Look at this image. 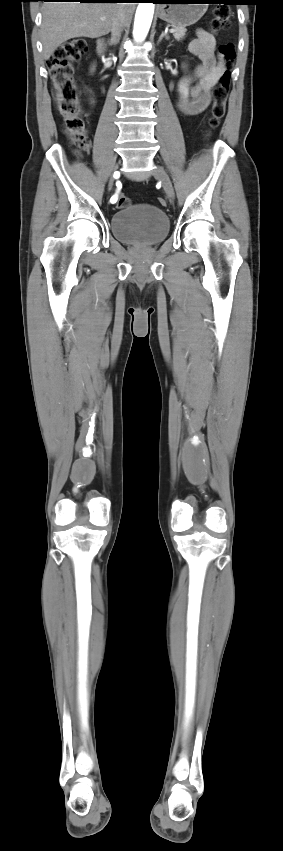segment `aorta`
<instances>
[{
  "label": "aorta",
  "mask_w": 283,
  "mask_h": 851,
  "mask_svg": "<svg viewBox=\"0 0 283 851\" xmlns=\"http://www.w3.org/2000/svg\"><path fill=\"white\" fill-rule=\"evenodd\" d=\"M154 14L153 3H139L134 21L133 37L136 41H143L150 29Z\"/></svg>",
  "instance_id": "762f6f07"
}]
</instances>
